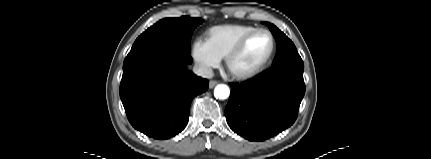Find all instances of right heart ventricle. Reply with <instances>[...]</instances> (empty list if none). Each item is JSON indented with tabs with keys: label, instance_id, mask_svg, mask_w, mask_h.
<instances>
[{
	"label": "right heart ventricle",
	"instance_id": "e07e8e85",
	"mask_svg": "<svg viewBox=\"0 0 431 159\" xmlns=\"http://www.w3.org/2000/svg\"><path fill=\"white\" fill-rule=\"evenodd\" d=\"M258 28L245 24H225L209 28L205 33V41L220 58H225L238 41L251 31Z\"/></svg>",
	"mask_w": 431,
	"mask_h": 159
}]
</instances>
